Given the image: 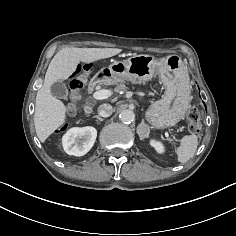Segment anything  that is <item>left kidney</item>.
I'll use <instances>...</instances> for the list:
<instances>
[{"instance_id": "left-kidney-1", "label": "left kidney", "mask_w": 236, "mask_h": 236, "mask_svg": "<svg viewBox=\"0 0 236 236\" xmlns=\"http://www.w3.org/2000/svg\"><path fill=\"white\" fill-rule=\"evenodd\" d=\"M150 145L156 150L157 153L162 154L164 152V146L161 142L152 139Z\"/></svg>"}]
</instances>
